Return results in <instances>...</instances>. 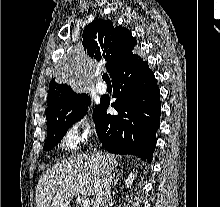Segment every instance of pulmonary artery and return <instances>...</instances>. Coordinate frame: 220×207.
Listing matches in <instances>:
<instances>
[{
  "instance_id": "obj_1",
  "label": "pulmonary artery",
  "mask_w": 220,
  "mask_h": 207,
  "mask_svg": "<svg viewBox=\"0 0 220 207\" xmlns=\"http://www.w3.org/2000/svg\"><path fill=\"white\" fill-rule=\"evenodd\" d=\"M97 91L99 94H105L106 93V87L105 85L99 84L97 85Z\"/></svg>"
}]
</instances>
